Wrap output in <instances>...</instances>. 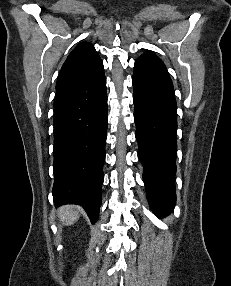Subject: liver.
<instances>
[{
    "instance_id": "1",
    "label": "liver",
    "mask_w": 231,
    "mask_h": 286,
    "mask_svg": "<svg viewBox=\"0 0 231 286\" xmlns=\"http://www.w3.org/2000/svg\"><path fill=\"white\" fill-rule=\"evenodd\" d=\"M80 216V209L77 206L66 205L58 210V217L64 225L74 224Z\"/></svg>"
}]
</instances>
